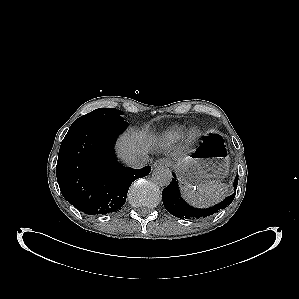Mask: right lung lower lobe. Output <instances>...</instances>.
<instances>
[{
  "label": "right lung lower lobe",
  "mask_w": 299,
  "mask_h": 299,
  "mask_svg": "<svg viewBox=\"0 0 299 299\" xmlns=\"http://www.w3.org/2000/svg\"><path fill=\"white\" fill-rule=\"evenodd\" d=\"M126 121L70 127L60 146L56 176L63 197L88 215L116 212L126 202L133 181L145 177L150 166H122L114 142Z\"/></svg>",
  "instance_id": "obj_1"
}]
</instances>
